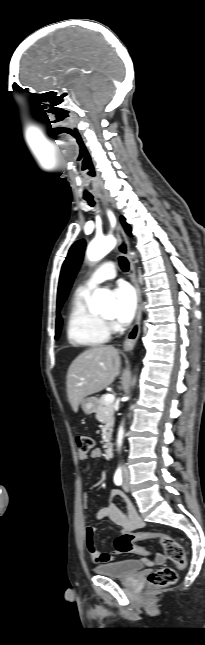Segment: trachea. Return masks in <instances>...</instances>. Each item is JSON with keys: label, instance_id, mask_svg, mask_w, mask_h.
Returning a JSON list of instances; mask_svg holds the SVG:
<instances>
[{"label": "trachea", "instance_id": "1", "mask_svg": "<svg viewBox=\"0 0 205 645\" xmlns=\"http://www.w3.org/2000/svg\"><path fill=\"white\" fill-rule=\"evenodd\" d=\"M84 199L88 202V204H89L90 206H94V205H95V202H94V200H93V197H91V196H85V197H84ZM119 264H120L121 269H122L124 272H127V271L129 270V262H128V260H127L124 256H120V257H119Z\"/></svg>", "mask_w": 205, "mask_h": 645}]
</instances>
